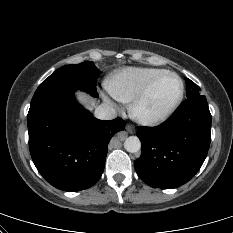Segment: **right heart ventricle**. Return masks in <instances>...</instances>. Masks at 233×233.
I'll list each match as a JSON object with an SVG mask.
<instances>
[{
  "instance_id": "1",
  "label": "right heart ventricle",
  "mask_w": 233,
  "mask_h": 233,
  "mask_svg": "<svg viewBox=\"0 0 233 233\" xmlns=\"http://www.w3.org/2000/svg\"><path fill=\"white\" fill-rule=\"evenodd\" d=\"M164 71L150 67L124 68L105 82L108 93L122 103H129L137 93L158 73Z\"/></svg>"
}]
</instances>
